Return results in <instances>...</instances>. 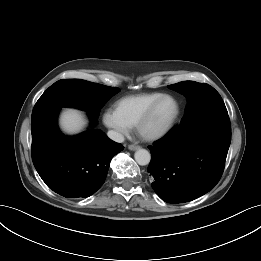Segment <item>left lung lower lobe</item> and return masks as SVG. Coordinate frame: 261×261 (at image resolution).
I'll use <instances>...</instances> for the list:
<instances>
[{"instance_id": "0a47b994", "label": "left lung lower lobe", "mask_w": 261, "mask_h": 261, "mask_svg": "<svg viewBox=\"0 0 261 261\" xmlns=\"http://www.w3.org/2000/svg\"><path fill=\"white\" fill-rule=\"evenodd\" d=\"M230 141L228 114L173 128L148 147L152 188L168 203H184L206 194L220 180Z\"/></svg>"}]
</instances>
